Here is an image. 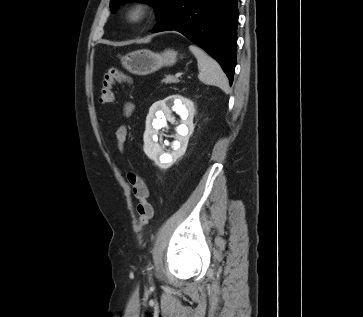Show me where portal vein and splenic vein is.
Returning <instances> with one entry per match:
<instances>
[{"label":"portal vein and splenic vein","instance_id":"obj_1","mask_svg":"<svg viewBox=\"0 0 363 317\" xmlns=\"http://www.w3.org/2000/svg\"><path fill=\"white\" fill-rule=\"evenodd\" d=\"M176 78H179V77H181L182 76V73H176Z\"/></svg>","mask_w":363,"mask_h":317}]
</instances>
